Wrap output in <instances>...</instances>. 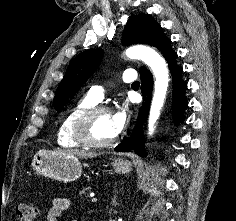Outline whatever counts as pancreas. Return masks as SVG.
Listing matches in <instances>:
<instances>
[{
    "label": "pancreas",
    "mask_w": 236,
    "mask_h": 221,
    "mask_svg": "<svg viewBox=\"0 0 236 221\" xmlns=\"http://www.w3.org/2000/svg\"><path fill=\"white\" fill-rule=\"evenodd\" d=\"M86 190H87L86 188H83V189L80 191V194H84Z\"/></svg>",
    "instance_id": "cf45deb5"
}]
</instances>
